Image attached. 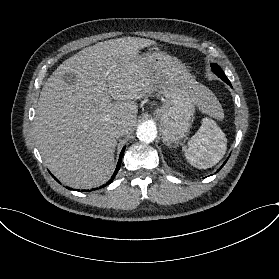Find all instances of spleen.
I'll list each match as a JSON object with an SVG mask.
<instances>
[{
  "label": "spleen",
  "instance_id": "3e777b00",
  "mask_svg": "<svg viewBox=\"0 0 279 279\" xmlns=\"http://www.w3.org/2000/svg\"><path fill=\"white\" fill-rule=\"evenodd\" d=\"M202 112L222 120L224 117L221 104L217 98L205 87L197 102ZM227 138L216 122L205 118L199 130L184 147L185 156L189 163L199 169H207L216 165L225 155Z\"/></svg>",
  "mask_w": 279,
  "mask_h": 279
}]
</instances>
